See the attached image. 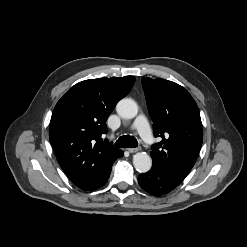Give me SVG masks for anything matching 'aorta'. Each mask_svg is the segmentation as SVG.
Instances as JSON below:
<instances>
[{"instance_id":"aorta-1","label":"aorta","mask_w":247,"mask_h":247,"mask_svg":"<svg viewBox=\"0 0 247 247\" xmlns=\"http://www.w3.org/2000/svg\"><path fill=\"white\" fill-rule=\"evenodd\" d=\"M116 111L124 119H132L138 113V105L131 98H123L117 103ZM133 165L140 173L148 172L152 167V159L145 152H138L133 156Z\"/></svg>"}]
</instances>
